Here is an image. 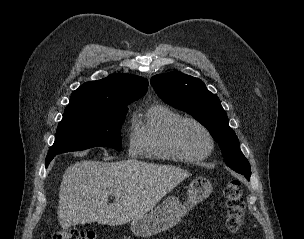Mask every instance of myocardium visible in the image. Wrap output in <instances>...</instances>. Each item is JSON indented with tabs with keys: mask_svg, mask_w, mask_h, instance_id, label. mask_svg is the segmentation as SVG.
Instances as JSON below:
<instances>
[{
	"mask_svg": "<svg viewBox=\"0 0 304 239\" xmlns=\"http://www.w3.org/2000/svg\"><path fill=\"white\" fill-rule=\"evenodd\" d=\"M186 123H192V124L198 126L207 136L209 146L205 152L200 153V154H194V153L188 152L180 143L179 130ZM168 139H169V143H170L171 147L173 148V150L179 156H181L182 159L188 160V161H199V160H203V159L209 157L211 155V153L213 152L214 146H215L214 137H213L211 131L209 130V128L205 124H203L201 121H199L198 119L193 118V117H180L178 120H176L169 129Z\"/></svg>",
	"mask_w": 304,
	"mask_h": 239,
	"instance_id": "obj_1",
	"label": "myocardium"
}]
</instances>
